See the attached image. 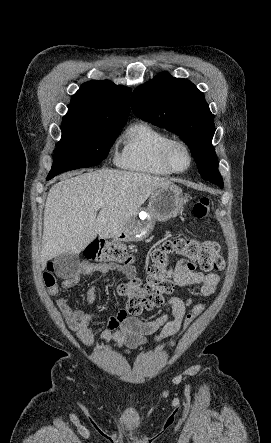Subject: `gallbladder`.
<instances>
[{
	"mask_svg": "<svg viewBox=\"0 0 271 443\" xmlns=\"http://www.w3.org/2000/svg\"><path fill=\"white\" fill-rule=\"evenodd\" d=\"M75 257L74 251H65L63 255L55 257L53 265L58 278H71L72 273L82 268V261L74 260Z\"/></svg>",
	"mask_w": 271,
	"mask_h": 443,
	"instance_id": "bac80fb5",
	"label": "gallbladder"
}]
</instances>
